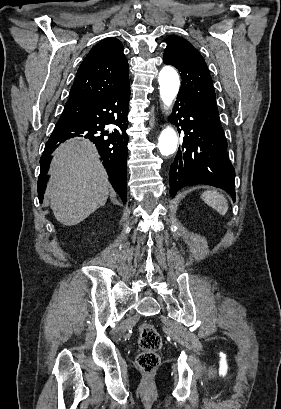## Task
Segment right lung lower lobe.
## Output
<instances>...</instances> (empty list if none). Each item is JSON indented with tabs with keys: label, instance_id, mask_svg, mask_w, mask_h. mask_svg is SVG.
I'll use <instances>...</instances> for the list:
<instances>
[{
	"label": "right lung lower lobe",
	"instance_id": "right-lung-lower-lobe-1",
	"mask_svg": "<svg viewBox=\"0 0 281 409\" xmlns=\"http://www.w3.org/2000/svg\"><path fill=\"white\" fill-rule=\"evenodd\" d=\"M130 84L102 98L85 102H67L40 159L38 197L42 202L50 160L58 142L81 136L95 143L107 169L109 179L123 203L127 198V111Z\"/></svg>",
	"mask_w": 281,
	"mask_h": 409
}]
</instances>
